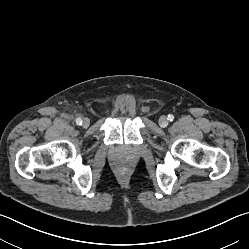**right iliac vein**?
Returning <instances> with one entry per match:
<instances>
[{
	"label": "right iliac vein",
	"mask_w": 249,
	"mask_h": 249,
	"mask_svg": "<svg viewBox=\"0 0 249 249\" xmlns=\"http://www.w3.org/2000/svg\"><path fill=\"white\" fill-rule=\"evenodd\" d=\"M89 124H90V120H89L88 118H85V119L83 120V122H82V126H83L84 128L88 127Z\"/></svg>",
	"instance_id": "63e3f726"
}]
</instances>
